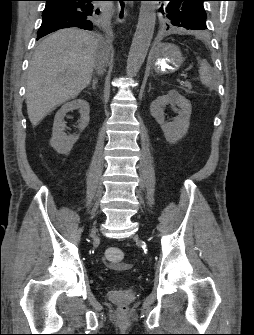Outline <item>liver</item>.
<instances>
[{"mask_svg":"<svg viewBox=\"0 0 254 335\" xmlns=\"http://www.w3.org/2000/svg\"><path fill=\"white\" fill-rule=\"evenodd\" d=\"M112 46L79 29H62L36 48L27 75L26 104L33 126L89 85L94 68L108 61Z\"/></svg>","mask_w":254,"mask_h":335,"instance_id":"liver-1","label":"liver"}]
</instances>
